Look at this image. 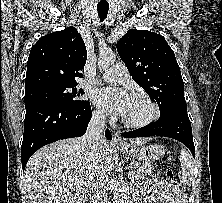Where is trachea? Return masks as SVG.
<instances>
[{
	"instance_id": "3493384b",
	"label": "trachea",
	"mask_w": 222,
	"mask_h": 203,
	"mask_svg": "<svg viewBox=\"0 0 222 203\" xmlns=\"http://www.w3.org/2000/svg\"><path fill=\"white\" fill-rule=\"evenodd\" d=\"M108 10H109L108 4L97 6V11H98V16H99L100 21H104L106 19Z\"/></svg>"
}]
</instances>
